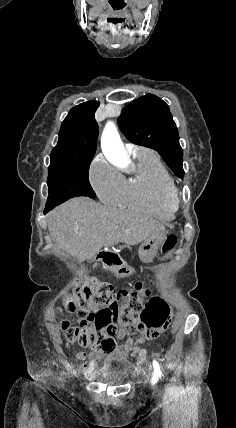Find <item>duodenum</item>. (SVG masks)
Wrapping results in <instances>:
<instances>
[{
    "label": "duodenum",
    "instance_id": "duodenum-1",
    "mask_svg": "<svg viewBox=\"0 0 236 428\" xmlns=\"http://www.w3.org/2000/svg\"><path fill=\"white\" fill-rule=\"evenodd\" d=\"M94 262L101 263L114 272L119 271L123 266L122 258L111 249L99 250L94 257Z\"/></svg>",
    "mask_w": 236,
    "mask_h": 428
}]
</instances>
